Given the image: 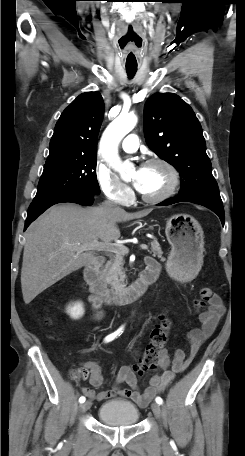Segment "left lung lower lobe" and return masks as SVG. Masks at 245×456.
I'll return each mask as SVG.
<instances>
[{
    "mask_svg": "<svg viewBox=\"0 0 245 456\" xmlns=\"http://www.w3.org/2000/svg\"><path fill=\"white\" fill-rule=\"evenodd\" d=\"M178 202H193V203H196V204H199V205H203L207 208H209L210 210H212L213 212H215L220 220H221V223L222 225L224 226V209L221 205H216V204H213V203H207V202H194V201H188V200H185V199H182L180 197H173V198H170L158 205H171V204H174V203H178Z\"/></svg>",
    "mask_w": 245,
    "mask_h": 456,
    "instance_id": "left-lung-lower-lobe-1",
    "label": "left lung lower lobe"
}]
</instances>
